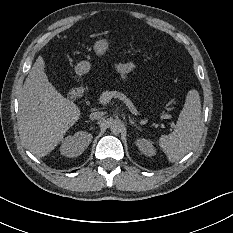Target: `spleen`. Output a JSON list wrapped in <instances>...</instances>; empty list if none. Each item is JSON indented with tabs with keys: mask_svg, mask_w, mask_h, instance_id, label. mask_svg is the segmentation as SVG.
<instances>
[{
	"mask_svg": "<svg viewBox=\"0 0 233 233\" xmlns=\"http://www.w3.org/2000/svg\"><path fill=\"white\" fill-rule=\"evenodd\" d=\"M201 101L199 92L190 90L186 102L179 115L174 132L162 135L159 146L170 162L178 161L191 151L201 138Z\"/></svg>",
	"mask_w": 233,
	"mask_h": 233,
	"instance_id": "1",
	"label": "spleen"
}]
</instances>
